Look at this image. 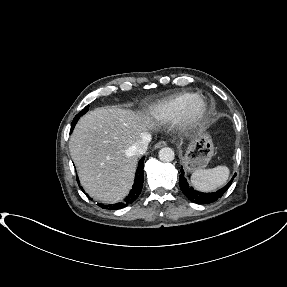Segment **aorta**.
Listing matches in <instances>:
<instances>
[{"label": "aorta", "instance_id": "obj_1", "mask_svg": "<svg viewBox=\"0 0 287 287\" xmlns=\"http://www.w3.org/2000/svg\"><path fill=\"white\" fill-rule=\"evenodd\" d=\"M158 156L162 162H171L175 158V153L172 148L163 147L160 149Z\"/></svg>", "mask_w": 287, "mask_h": 287}]
</instances>
